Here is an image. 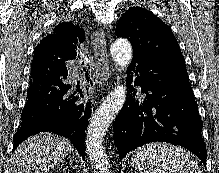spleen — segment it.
Wrapping results in <instances>:
<instances>
[{"instance_id": "spleen-1", "label": "spleen", "mask_w": 219, "mask_h": 173, "mask_svg": "<svg viewBox=\"0 0 219 173\" xmlns=\"http://www.w3.org/2000/svg\"><path fill=\"white\" fill-rule=\"evenodd\" d=\"M131 164L139 173H201L187 151L163 142H152L138 148Z\"/></svg>"}]
</instances>
